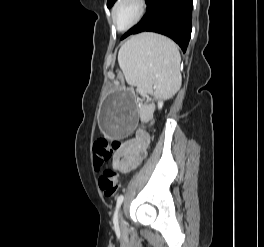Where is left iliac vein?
<instances>
[{
  "mask_svg": "<svg viewBox=\"0 0 264 247\" xmlns=\"http://www.w3.org/2000/svg\"><path fill=\"white\" fill-rule=\"evenodd\" d=\"M119 222H120L121 228H124L125 227V222H124V219H123L122 211H120V213H119Z\"/></svg>",
  "mask_w": 264,
  "mask_h": 247,
  "instance_id": "4c4485c4",
  "label": "left iliac vein"
}]
</instances>
